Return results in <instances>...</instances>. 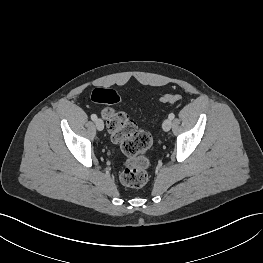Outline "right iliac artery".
Masks as SVG:
<instances>
[{
  "instance_id": "right-iliac-artery-1",
  "label": "right iliac artery",
  "mask_w": 263,
  "mask_h": 263,
  "mask_svg": "<svg viewBox=\"0 0 263 263\" xmlns=\"http://www.w3.org/2000/svg\"><path fill=\"white\" fill-rule=\"evenodd\" d=\"M91 119H92L93 121H95V120L97 119V116H96L95 114H92V115H91Z\"/></svg>"
}]
</instances>
